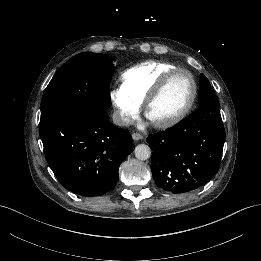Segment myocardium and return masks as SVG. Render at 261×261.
I'll return each mask as SVG.
<instances>
[{"instance_id":"f54148a6","label":"myocardium","mask_w":261,"mask_h":261,"mask_svg":"<svg viewBox=\"0 0 261 261\" xmlns=\"http://www.w3.org/2000/svg\"><path fill=\"white\" fill-rule=\"evenodd\" d=\"M177 73L186 74L192 83V95H191L190 100L185 105V107L175 116H172L165 120H153L149 114L150 108L156 102V100L161 96V94L166 89V87L168 86V84L171 81V79L173 78V76ZM197 93H198V86H197L196 80H195L194 76L192 75V73L183 68H174V69L166 72L161 77V79L157 82V84L152 88V90L146 97V99L144 101V115L155 128H158V129L169 128V127L179 123L180 121H182L188 115V113L191 111V109L196 101Z\"/></svg>"}]
</instances>
